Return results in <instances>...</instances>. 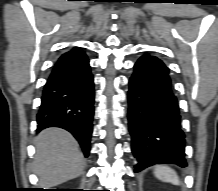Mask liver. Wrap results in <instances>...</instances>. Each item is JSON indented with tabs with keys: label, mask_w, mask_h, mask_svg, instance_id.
I'll return each mask as SVG.
<instances>
[{
	"label": "liver",
	"mask_w": 218,
	"mask_h": 191,
	"mask_svg": "<svg viewBox=\"0 0 218 191\" xmlns=\"http://www.w3.org/2000/svg\"><path fill=\"white\" fill-rule=\"evenodd\" d=\"M34 172L42 187H54L78 177L85 159L78 142L65 130L48 128L35 139Z\"/></svg>",
	"instance_id": "obj_1"
}]
</instances>
